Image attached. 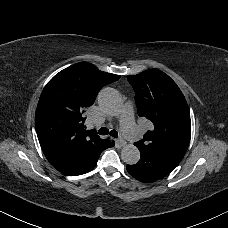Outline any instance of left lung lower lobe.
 I'll return each instance as SVG.
<instances>
[{"instance_id": "left-lung-lower-lobe-1", "label": "left lung lower lobe", "mask_w": 228, "mask_h": 228, "mask_svg": "<svg viewBox=\"0 0 228 228\" xmlns=\"http://www.w3.org/2000/svg\"><path fill=\"white\" fill-rule=\"evenodd\" d=\"M141 158L137 164L126 169L134 178L142 182H153L168 175L181 160L162 152L139 148Z\"/></svg>"}]
</instances>
